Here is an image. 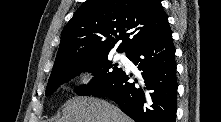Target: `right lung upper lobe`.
I'll use <instances>...</instances> for the list:
<instances>
[{
  "label": "right lung upper lobe",
  "mask_w": 221,
  "mask_h": 122,
  "mask_svg": "<svg viewBox=\"0 0 221 122\" xmlns=\"http://www.w3.org/2000/svg\"><path fill=\"white\" fill-rule=\"evenodd\" d=\"M167 22L159 0H87L62 31L51 76L107 55L119 40L128 55Z\"/></svg>",
  "instance_id": "right-lung-upper-lobe-1"
}]
</instances>
